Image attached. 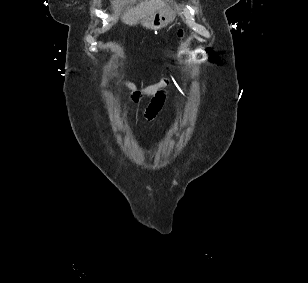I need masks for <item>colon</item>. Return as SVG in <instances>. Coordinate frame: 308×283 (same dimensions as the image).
<instances>
[{
  "label": "colon",
  "mask_w": 308,
  "mask_h": 283,
  "mask_svg": "<svg viewBox=\"0 0 308 283\" xmlns=\"http://www.w3.org/2000/svg\"><path fill=\"white\" fill-rule=\"evenodd\" d=\"M178 36H179L180 39H183L184 36H185V32H184L183 30H180V31L178 32Z\"/></svg>",
  "instance_id": "colon-1"
}]
</instances>
